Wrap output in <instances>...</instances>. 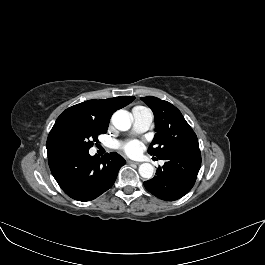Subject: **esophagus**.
Segmentation results:
<instances>
[{
	"label": "esophagus",
	"instance_id": "esophagus-1",
	"mask_svg": "<svg viewBox=\"0 0 265 265\" xmlns=\"http://www.w3.org/2000/svg\"><path fill=\"white\" fill-rule=\"evenodd\" d=\"M128 163H130V164H135V165H139V164H140L139 162L131 161V160H128Z\"/></svg>",
	"mask_w": 265,
	"mask_h": 265
}]
</instances>
